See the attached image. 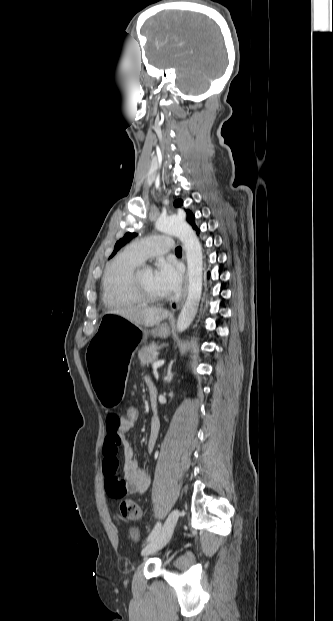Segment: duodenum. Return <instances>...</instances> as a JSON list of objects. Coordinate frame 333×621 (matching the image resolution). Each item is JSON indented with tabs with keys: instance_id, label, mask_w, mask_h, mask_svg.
Here are the masks:
<instances>
[{
	"instance_id": "1",
	"label": "duodenum",
	"mask_w": 333,
	"mask_h": 621,
	"mask_svg": "<svg viewBox=\"0 0 333 621\" xmlns=\"http://www.w3.org/2000/svg\"><path fill=\"white\" fill-rule=\"evenodd\" d=\"M149 393H150L151 402L154 404L155 403L156 392H155V388H154L152 383L149 384ZM152 423H153V425H157L158 424V419H157L155 414L152 417Z\"/></svg>"
}]
</instances>
